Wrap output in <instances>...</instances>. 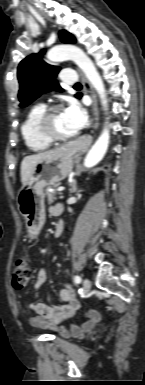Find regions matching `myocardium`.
Segmentation results:
<instances>
[{
    "instance_id": "obj_1",
    "label": "myocardium",
    "mask_w": 145,
    "mask_h": 385,
    "mask_svg": "<svg viewBox=\"0 0 145 385\" xmlns=\"http://www.w3.org/2000/svg\"><path fill=\"white\" fill-rule=\"evenodd\" d=\"M60 110H62V107L60 105L50 106L44 110V112L42 113V115L38 120L37 128H38L39 134L50 143L66 142L76 137V133L69 136H59L53 132L51 127V120L54 114Z\"/></svg>"
}]
</instances>
